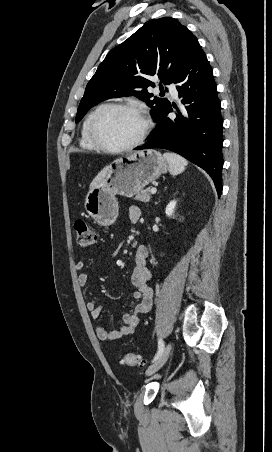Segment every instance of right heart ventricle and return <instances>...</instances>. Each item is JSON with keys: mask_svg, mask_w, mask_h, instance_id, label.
<instances>
[{"mask_svg": "<svg viewBox=\"0 0 272 452\" xmlns=\"http://www.w3.org/2000/svg\"><path fill=\"white\" fill-rule=\"evenodd\" d=\"M93 112H91L90 114L87 115V117L85 118V120L82 123V127H81V134H80V139H79V145L85 149V150H89V151H95L98 150V148L92 143V141L90 140L88 133H87V123L88 120L91 116Z\"/></svg>", "mask_w": 272, "mask_h": 452, "instance_id": "obj_1", "label": "right heart ventricle"}]
</instances>
